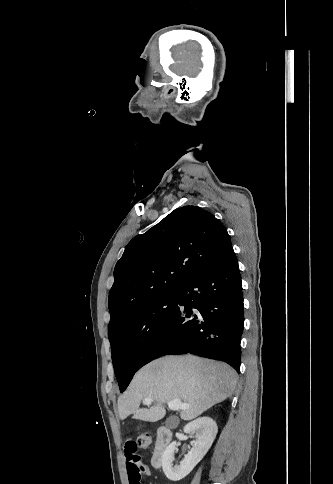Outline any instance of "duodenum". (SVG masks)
Returning a JSON list of instances; mask_svg holds the SVG:
<instances>
[{"mask_svg": "<svg viewBox=\"0 0 333 484\" xmlns=\"http://www.w3.org/2000/svg\"><path fill=\"white\" fill-rule=\"evenodd\" d=\"M172 441V432L167 427H160L157 432V440L152 457L154 467H160L166 448Z\"/></svg>", "mask_w": 333, "mask_h": 484, "instance_id": "1", "label": "duodenum"}]
</instances>
